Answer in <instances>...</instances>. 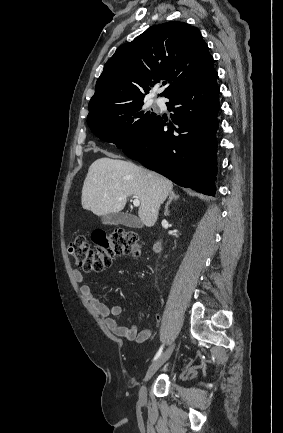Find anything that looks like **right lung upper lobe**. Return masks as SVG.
<instances>
[{
  "label": "right lung upper lobe",
  "instance_id": "right-lung-upper-lobe-1",
  "mask_svg": "<svg viewBox=\"0 0 283 433\" xmlns=\"http://www.w3.org/2000/svg\"><path fill=\"white\" fill-rule=\"evenodd\" d=\"M216 74L198 30L178 21L155 25L119 46L107 61L90 100L89 115L143 100L160 80L168 84L161 96L168 97Z\"/></svg>",
  "mask_w": 283,
  "mask_h": 433
}]
</instances>
